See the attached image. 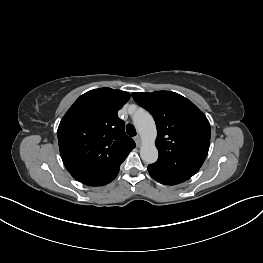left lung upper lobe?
<instances>
[{"label": "left lung upper lobe", "instance_id": "5c2ea615", "mask_svg": "<svg viewBox=\"0 0 263 263\" xmlns=\"http://www.w3.org/2000/svg\"><path fill=\"white\" fill-rule=\"evenodd\" d=\"M132 97L156 122L159 158L149 166L170 177L191 178L209 150L211 129L206 116L191 101L174 92H136Z\"/></svg>", "mask_w": 263, "mask_h": 263}]
</instances>
